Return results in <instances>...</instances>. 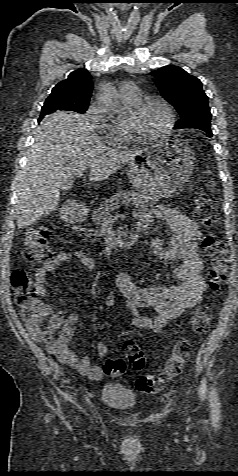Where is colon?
Listing matches in <instances>:
<instances>
[{
    "label": "colon",
    "instance_id": "obj_1",
    "mask_svg": "<svg viewBox=\"0 0 238 476\" xmlns=\"http://www.w3.org/2000/svg\"><path fill=\"white\" fill-rule=\"evenodd\" d=\"M195 215L200 223L211 226L219 218V210L216 203L207 196L199 195L195 200ZM50 231L46 227L32 230L27 238L23 257L29 262H45L52 257L48 238ZM202 245L205 250L209 265L208 285L211 290L219 291L226 280L229 261V249L227 244L218 235L207 233ZM11 285L14 290L15 303L20 314L26 322L31 335L37 340L43 341L46 346L56 351L68 343L71 331L67 328L57 330L45 327L48 317L46 306L40 301L35 283L31 280L27 271L16 268L11 273ZM211 311L207 307H200L192 317L191 328L195 333L201 334L210 327ZM190 342L187 339L180 340L167 362L166 367L159 374H145L136 379V388L147 394H155L163 385L177 376L183 369L189 357ZM123 352L127 361L136 369L142 370L145 365V353L134 342H127L123 346ZM103 371L110 377H123L126 374V363L122 359H108L104 363Z\"/></svg>",
    "mask_w": 238,
    "mask_h": 476
}]
</instances>
